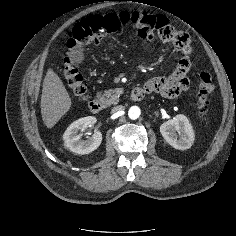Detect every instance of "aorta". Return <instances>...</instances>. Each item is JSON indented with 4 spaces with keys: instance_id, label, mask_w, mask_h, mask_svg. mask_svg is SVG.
Returning a JSON list of instances; mask_svg holds the SVG:
<instances>
[{
    "instance_id": "762f6f07",
    "label": "aorta",
    "mask_w": 236,
    "mask_h": 236,
    "mask_svg": "<svg viewBox=\"0 0 236 236\" xmlns=\"http://www.w3.org/2000/svg\"><path fill=\"white\" fill-rule=\"evenodd\" d=\"M140 114H141V110L138 106H132L130 107L128 111L129 118L133 120L139 118Z\"/></svg>"
}]
</instances>
